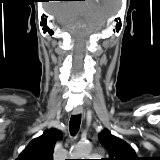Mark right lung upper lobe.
Here are the masks:
<instances>
[{"label":"right lung upper lobe","mask_w":160,"mask_h":160,"mask_svg":"<svg viewBox=\"0 0 160 160\" xmlns=\"http://www.w3.org/2000/svg\"><path fill=\"white\" fill-rule=\"evenodd\" d=\"M61 137V132L56 129L45 130L26 146L16 160H53L55 141Z\"/></svg>","instance_id":"cb5924a9"}]
</instances>
